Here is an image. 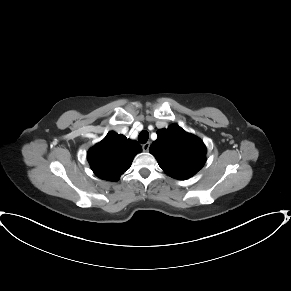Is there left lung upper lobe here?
Listing matches in <instances>:
<instances>
[{"label":"left lung upper lobe","mask_w":291,"mask_h":291,"mask_svg":"<svg viewBox=\"0 0 291 291\" xmlns=\"http://www.w3.org/2000/svg\"><path fill=\"white\" fill-rule=\"evenodd\" d=\"M149 152L171 177L184 180L196 174L206 161V147L196 136L177 125L157 131Z\"/></svg>","instance_id":"5c2ea615"}]
</instances>
